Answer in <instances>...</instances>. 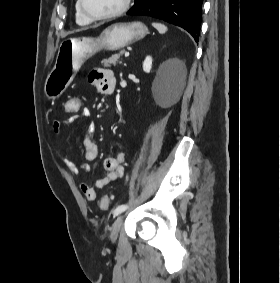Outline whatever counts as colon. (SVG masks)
Returning <instances> with one entry per match:
<instances>
[{"mask_svg":"<svg viewBox=\"0 0 280 283\" xmlns=\"http://www.w3.org/2000/svg\"><path fill=\"white\" fill-rule=\"evenodd\" d=\"M64 112H82V97L80 94H71V97H67L64 100ZM110 199L107 195L103 196L100 200V208L103 211H106L109 208Z\"/></svg>","mask_w":280,"mask_h":283,"instance_id":"5ec220e1","label":"colon"}]
</instances>
